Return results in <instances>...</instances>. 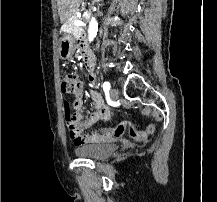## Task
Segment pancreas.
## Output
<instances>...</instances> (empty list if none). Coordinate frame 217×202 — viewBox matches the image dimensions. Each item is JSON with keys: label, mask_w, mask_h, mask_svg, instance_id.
Masks as SVG:
<instances>
[{"label": "pancreas", "mask_w": 217, "mask_h": 202, "mask_svg": "<svg viewBox=\"0 0 217 202\" xmlns=\"http://www.w3.org/2000/svg\"><path fill=\"white\" fill-rule=\"evenodd\" d=\"M73 22H75L76 17L71 18ZM73 22H65L62 25V30H66V33L73 34L74 38H81V34H83L84 30L81 26H73Z\"/></svg>", "instance_id": "1"}]
</instances>
